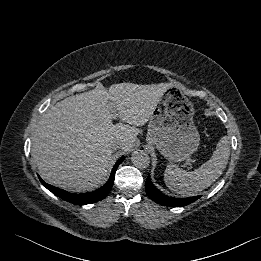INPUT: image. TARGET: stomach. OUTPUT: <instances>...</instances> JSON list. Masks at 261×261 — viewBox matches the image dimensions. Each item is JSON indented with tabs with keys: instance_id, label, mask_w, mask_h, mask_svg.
I'll return each mask as SVG.
<instances>
[{
	"instance_id": "1",
	"label": "stomach",
	"mask_w": 261,
	"mask_h": 261,
	"mask_svg": "<svg viewBox=\"0 0 261 261\" xmlns=\"http://www.w3.org/2000/svg\"><path fill=\"white\" fill-rule=\"evenodd\" d=\"M193 103L177 83L159 98L149 119L148 143L172 162L188 159L198 148L200 136L193 122Z\"/></svg>"
}]
</instances>
